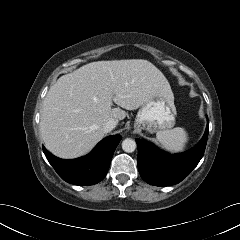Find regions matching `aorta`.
I'll use <instances>...</instances> for the list:
<instances>
[{
  "label": "aorta",
  "instance_id": "aorta-1",
  "mask_svg": "<svg viewBox=\"0 0 240 240\" xmlns=\"http://www.w3.org/2000/svg\"><path fill=\"white\" fill-rule=\"evenodd\" d=\"M122 149L123 151L127 152V153H132L135 151L136 149V142L133 139L130 138H126L125 140H123L122 142Z\"/></svg>",
  "mask_w": 240,
  "mask_h": 240
}]
</instances>
